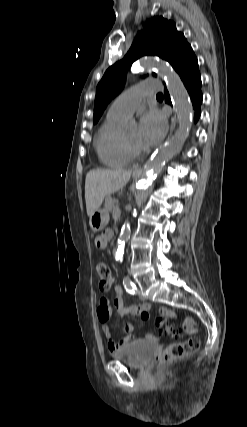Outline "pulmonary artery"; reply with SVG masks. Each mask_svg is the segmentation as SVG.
Instances as JSON below:
<instances>
[{"label":"pulmonary artery","mask_w":247,"mask_h":427,"mask_svg":"<svg viewBox=\"0 0 247 427\" xmlns=\"http://www.w3.org/2000/svg\"><path fill=\"white\" fill-rule=\"evenodd\" d=\"M159 89V83L154 80L131 86L114 100L108 110V116L123 120L127 119L147 94L156 92Z\"/></svg>","instance_id":"obj_1"}]
</instances>
